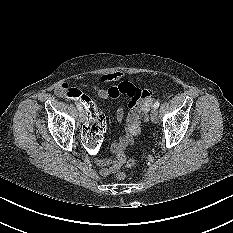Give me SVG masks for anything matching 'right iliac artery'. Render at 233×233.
Instances as JSON below:
<instances>
[{"label":"right iliac artery","instance_id":"82829eb1","mask_svg":"<svg viewBox=\"0 0 233 233\" xmlns=\"http://www.w3.org/2000/svg\"><path fill=\"white\" fill-rule=\"evenodd\" d=\"M76 106H77V108H78V110H79V111H81V110H82V106H81V104H80V103H76Z\"/></svg>","mask_w":233,"mask_h":233}]
</instances>
